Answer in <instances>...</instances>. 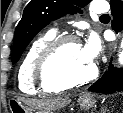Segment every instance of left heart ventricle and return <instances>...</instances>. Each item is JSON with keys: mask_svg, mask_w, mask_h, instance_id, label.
I'll return each instance as SVG.
<instances>
[{"mask_svg": "<svg viewBox=\"0 0 123 113\" xmlns=\"http://www.w3.org/2000/svg\"><path fill=\"white\" fill-rule=\"evenodd\" d=\"M93 63L88 61L82 46L77 43L66 45L58 54L52 65V71L64 81L85 77L92 70Z\"/></svg>", "mask_w": 123, "mask_h": 113, "instance_id": "1", "label": "left heart ventricle"}]
</instances>
